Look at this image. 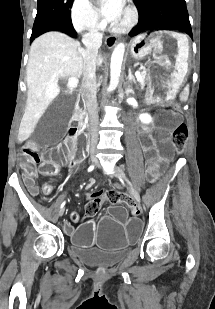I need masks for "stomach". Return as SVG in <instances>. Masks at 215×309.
Returning <instances> with one entry per match:
<instances>
[{
    "mask_svg": "<svg viewBox=\"0 0 215 309\" xmlns=\"http://www.w3.org/2000/svg\"><path fill=\"white\" fill-rule=\"evenodd\" d=\"M134 60L152 55L147 66V84L155 97H173L188 72L189 40L171 30L153 31L134 37L129 44Z\"/></svg>",
    "mask_w": 215,
    "mask_h": 309,
    "instance_id": "obj_1",
    "label": "stomach"
}]
</instances>
